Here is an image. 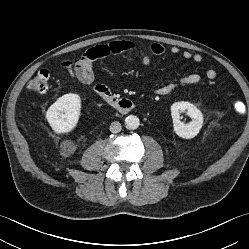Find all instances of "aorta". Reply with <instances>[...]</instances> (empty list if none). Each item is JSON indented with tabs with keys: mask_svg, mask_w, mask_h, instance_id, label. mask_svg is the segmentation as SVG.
Wrapping results in <instances>:
<instances>
[{
	"mask_svg": "<svg viewBox=\"0 0 249 249\" xmlns=\"http://www.w3.org/2000/svg\"><path fill=\"white\" fill-rule=\"evenodd\" d=\"M140 125L139 118L135 115H129L125 119V126L127 129H137Z\"/></svg>",
	"mask_w": 249,
	"mask_h": 249,
	"instance_id": "762f6f07",
	"label": "aorta"
}]
</instances>
